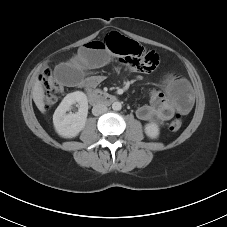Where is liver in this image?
<instances>
[{
	"mask_svg": "<svg viewBox=\"0 0 227 227\" xmlns=\"http://www.w3.org/2000/svg\"><path fill=\"white\" fill-rule=\"evenodd\" d=\"M32 97L37 106V108L44 113L45 112V103H44V90L42 87V82L39 79H36L34 86L32 88Z\"/></svg>",
	"mask_w": 227,
	"mask_h": 227,
	"instance_id": "6515ba94",
	"label": "liver"
}]
</instances>
